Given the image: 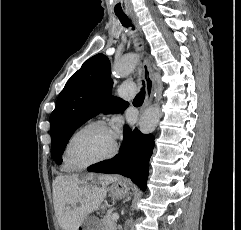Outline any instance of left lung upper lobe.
<instances>
[{"instance_id": "5c2ea615", "label": "left lung upper lobe", "mask_w": 241, "mask_h": 230, "mask_svg": "<svg viewBox=\"0 0 241 230\" xmlns=\"http://www.w3.org/2000/svg\"><path fill=\"white\" fill-rule=\"evenodd\" d=\"M107 56L97 54L86 62L68 80L58 96L50 116L51 155L57 164L71 135L90 118L104 113H122L127 105L111 97L113 82Z\"/></svg>"}]
</instances>
